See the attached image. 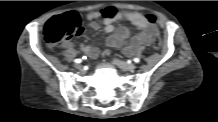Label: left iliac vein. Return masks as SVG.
Returning a JSON list of instances; mask_svg holds the SVG:
<instances>
[{"label": "left iliac vein", "mask_w": 218, "mask_h": 122, "mask_svg": "<svg viewBox=\"0 0 218 122\" xmlns=\"http://www.w3.org/2000/svg\"><path fill=\"white\" fill-rule=\"evenodd\" d=\"M113 62L119 67L121 68L122 70H125V71H132L136 68V65L135 64H128L124 61H121L119 59H114Z\"/></svg>", "instance_id": "4c4485c4"}]
</instances>
